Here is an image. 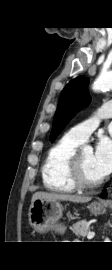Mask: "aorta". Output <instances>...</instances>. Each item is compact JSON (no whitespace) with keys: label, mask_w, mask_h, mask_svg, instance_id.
<instances>
[{"label":"aorta","mask_w":112,"mask_h":270,"mask_svg":"<svg viewBox=\"0 0 112 270\" xmlns=\"http://www.w3.org/2000/svg\"><path fill=\"white\" fill-rule=\"evenodd\" d=\"M92 89L94 91H101L105 89H112V71L107 73H102L93 83ZM85 152H92V147L85 146L83 148Z\"/></svg>","instance_id":"1"}]
</instances>
